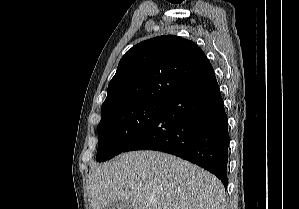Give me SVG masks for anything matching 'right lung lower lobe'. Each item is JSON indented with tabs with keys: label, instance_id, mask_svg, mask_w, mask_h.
I'll list each match as a JSON object with an SVG mask.
<instances>
[{
	"label": "right lung lower lobe",
	"instance_id": "1",
	"mask_svg": "<svg viewBox=\"0 0 299 209\" xmlns=\"http://www.w3.org/2000/svg\"><path fill=\"white\" fill-rule=\"evenodd\" d=\"M228 119L214 70L187 80L123 152L156 150L184 158L228 185Z\"/></svg>",
	"mask_w": 299,
	"mask_h": 209
}]
</instances>
